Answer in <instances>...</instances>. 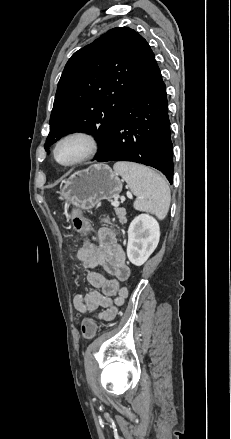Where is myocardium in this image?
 I'll list each match as a JSON object with an SVG mask.
<instances>
[{"label":"myocardium","mask_w":231,"mask_h":439,"mask_svg":"<svg viewBox=\"0 0 231 439\" xmlns=\"http://www.w3.org/2000/svg\"><path fill=\"white\" fill-rule=\"evenodd\" d=\"M73 138H80L83 139L84 141H86L88 148L87 151L85 152L84 155H82L81 157H79L78 159L69 162V163H62L59 161L58 157H57V152L58 149L60 147V145L69 140V139H73ZM99 150V141L97 139V137L86 130H73L70 132L65 133L64 135H62L54 144L53 147V158L55 160V162L62 166V167H73V166H77L81 163H84L86 161H88L89 159H91L92 157H94L96 155V153Z\"/></svg>","instance_id":"1"}]
</instances>
